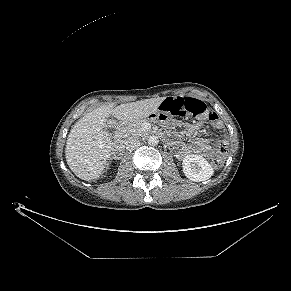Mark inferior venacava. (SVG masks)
Listing matches in <instances>:
<instances>
[{
    "mask_svg": "<svg viewBox=\"0 0 291 291\" xmlns=\"http://www.w3.org/2000/svg\"><path fill=\"white\" fill-rule=\"evenodd\" d=\"M139 146H140V141L135 137H131L126 141V149L128 151L135 150Z\"/></svg>",
    "mask_w": 291,
    "mask_h": 291,
    "instance_id": "602c4592",
    "label": "inferior vena cava"
}]
</instances>
